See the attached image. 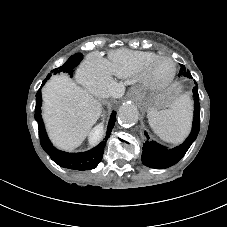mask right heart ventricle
Returning <instances> with one entry per match:
<instances>
[{"label":"right heart ventricle","instance_id":"1","mask_svg":"<svg viewBox=\"0 0 227 227\" xmlns=\"http://www.w3.org/2000/svg\"><path fill=\"white\" fill-rule=\"evenodd\" d=\"M156 57L153 52L121 49L113 54L108 68L116 76L133 77L143 72Z\"/></svg>","mask_w":227,"mask_h":227}]
</instances>
